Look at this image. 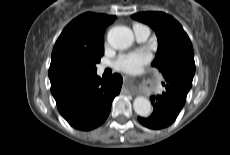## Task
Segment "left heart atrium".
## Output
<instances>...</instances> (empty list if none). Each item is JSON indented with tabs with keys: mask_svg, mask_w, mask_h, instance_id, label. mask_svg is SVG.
Instances as JSON below:
<instances>
[{
	"mask_svg": "<svg viewBox=\"0 0 230 155\" xmlns=\"http://www.w3.org/2000/svg\"><path fill=\"white\" fill-rule=\"evenodd\" d=\"M150 54L146 51H131L121 53L114 62L116 70L125 73H135L150 61Z\"/></svg>",
	"mask_w": 230,
	"mask_h": 155,
	"instance_id": "obj_1",
	"label": "left heart atrium"
}]
</instances>
